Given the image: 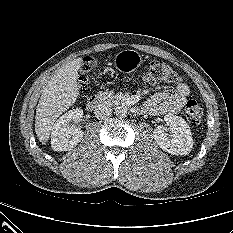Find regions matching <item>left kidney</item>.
Segmentation results:
<instances>
[{"label": "left kidney", "instance_id": "left-kidney-1", "mask_svg": "<svg viewBox=\"0 0 233 233\" xmlns=\"http://www.w3.org/2000/svg\"><path fill=\"white\" fill-rule=\"evenodd\" d=\"M166 125L172 130L165 132L163 125L155 127L154 139L160 148L173 155H188L193 147V139L189 125L179 116L167 114L164 116Z\"/></svg>", "mask_w": 233, "mask_h": 233}]
</instances>
